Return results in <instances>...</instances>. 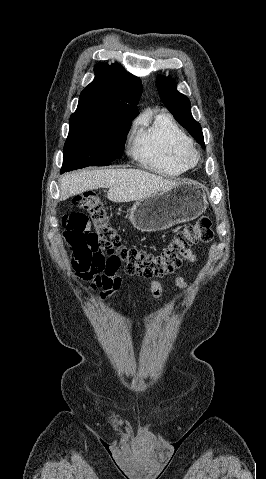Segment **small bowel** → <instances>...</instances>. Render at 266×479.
Masks as SVG:
<instances>
[{
	"instance_id": "small-bowel-1",
	"label": "small bowel",
	"mask_w": 266,
	"mask_h": 479,
	"mask_svg": "<svg viewBox=\"0 0 266 479\" xmlns=\"http://www.w3.org/2000/svg\"><path fill=\"white\" fill-rule=\"evenodd\" d=\"M67 240V239H66ZM184 258L190 262H195L196 261V256L189 250L185 253ZM175 284L177 287L183 289L187 287V282L182 276H177L175 278ZM150 290L152 295L155 298H159L162 294V285L159 281L157 280H152L150 282Z\"/></svg>"
}]
</instances>
